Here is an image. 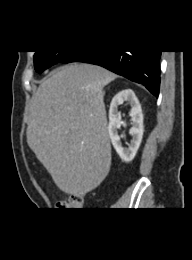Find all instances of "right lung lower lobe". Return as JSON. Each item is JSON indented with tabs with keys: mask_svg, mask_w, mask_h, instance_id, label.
<instances>
[{
	"mask_svg": "<svg viewBox=\"0 0 192 260\" xmlns=\"http://www.w3.org/2000/svg\"><path fill=\"white\" fill-rule=\"evenodd\" d=\"M161 51H100L69 52L62 63L86 62L100 65L134 82L143 84L158 97Z\"/></svg>",
	"mask_w": 192,
	"mask_h": 260,
	"instance_id": "right-lung-lower-lobe-1",
	"label": "right lung lower lobe"
}]
</instances>
